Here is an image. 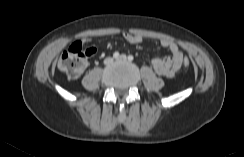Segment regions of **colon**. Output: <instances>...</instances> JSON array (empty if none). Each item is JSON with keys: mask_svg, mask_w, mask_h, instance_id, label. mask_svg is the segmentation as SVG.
<instances>
[{"mask_svg": "<svg viewBox=\"0 0 244 157\" xmlns=\"http://www.w3.org/2000/svg\"><path fill=\"white\" fill-rule=\"evenodd\" d=\"M94 54L93 48H84L82 43H73L68 50L63 52L58 60V68L69 78H78L87 65V59ZM190 65V59L184 57L183 66L187 68Z\"/></svg>", "mask_w": 244, "mask_h": 157, "instance_id": "obj_1", "label": "colon"}]
</instances>
